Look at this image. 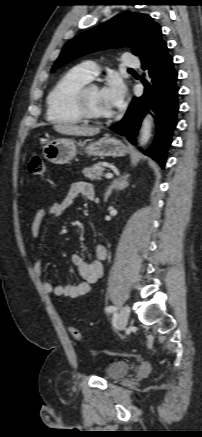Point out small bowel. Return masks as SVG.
Segmentation results:
<instances>
[{
	"mask_svg": "<svg viewBox=\"0 0 202 437\" xmlns=\"http://www.w3.org/2000/svg\"><path fill=\"white\" fill-rule=\"evenodd\" d=\"M77 197H84L92 200L95 197L94 187L88 182L73 183L64 197L60 201H54L48 207L40 208L31 224V235L33 240H37L40 235V229L43 219L47 216L58 218L62 216L73 204ZM106 256L104 246L98 245L96 248V256L91 260H86L81 254L74 253L71 256L72 264L76 267L82 281L72 285H57L54 286L51 282L45 281L42 284L43 290L46 293L54 294L57 297L79 298L88 294L91 291L92 285L101 277L103 273V260ZM42 257L38 256L34 263V273L40 278L42 276Z\"/></svg>",
	"mask_w": 202,
	"mask_h": 437,
	"instance_id": "1",
	"label": "small bowel"
}]
</instances>
